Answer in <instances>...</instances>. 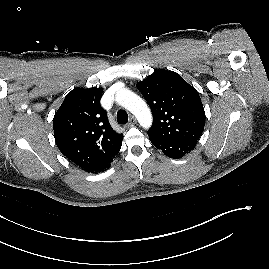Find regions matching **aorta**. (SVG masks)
<instances>
[{
	"mask_svg": "<svg viewBox=\"0 0 269 269\" xmlns=\"http://www.w3.org/2000/svg\"><path fill=\"white\" fill-rule=\"evenodd\" d=\"M116 101L119 105L129 110L144 128L152 124V115L146 102L137 94L128 89H121L116 93Z\"/></svg>",
	"mask_w": 269,
	"mask_h": 269,
	"instance_id": "aorta-1",
	"label": "aorta"
}]
</instances>
